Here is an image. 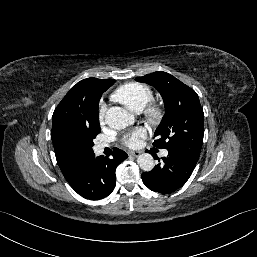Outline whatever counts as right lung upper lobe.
<instances>
[{"instance_id":"1","label":"right lung upper lobe","mask_w":257,"mask_h":257,"mask_svg":"<svg viewBox=\"0 0 257 257\" xmlns=\"http://www.w3.org/2000/svg\"><path fill=\"white\" fill-rule=\"evenodd\" d=\"M115 80L87 78L66 94L53 113L51 139L54 146L57 163L68 181L74 177L82 163L93 153L83 151L72 144L68 135L88 123V118L80 109L81 98L95 90L108 89Z\"/></svg>"}]
</instances>
